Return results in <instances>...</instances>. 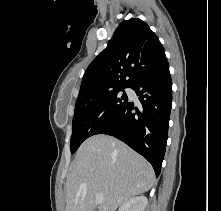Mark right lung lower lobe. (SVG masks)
<instances>
[{"mask_svg": "<svg viewBox=\"0 0 221 211\" xmlns=\"http://www.w3.org/2000/svg\"><path fill=\"white\" fill-rule=\"evenodd\" d=\"M141 103L127 104L97 134L118 138L145 157L159 176L168 138L172 106V80L169 65L136 80L131 86ZM136 113H133V110Z\"/></svg>", "mask_w": 221, "mask_h": 211, "instance_id": "obj_1", "label": "right lung lower lobe"}]
</instances>
